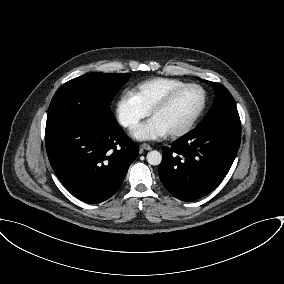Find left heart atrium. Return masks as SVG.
<instances>
[{
    "instance_id": "1",
    "label": "left heart atrium",
    "mask_w": 284,
    "mask_h": 284,
    "mask_svg": "<svg viewBox=\"0 0 284 284\" xmlns=\"http://www.w3.org/2000/svg\"><path fill=\"white\" fill-rule=\"evenodd\" d=\"M132 135L138 140H153L166 135V131L159 125V123L151 118L143 124L137 126Z\"/></svg>"
}]
</instances>
